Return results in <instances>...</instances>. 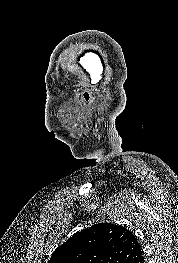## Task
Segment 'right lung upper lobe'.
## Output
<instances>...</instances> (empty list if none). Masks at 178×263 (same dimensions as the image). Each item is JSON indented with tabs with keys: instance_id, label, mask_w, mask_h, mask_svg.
Wrapping results in <instances>:
<instances>
[{
	"instance_id": "cb5924a9",
	"label": "right lung upper lobe",
	"mask_w": 178,
	"mask_h": 263,
	"mask_svg": "<svg viewBox=\"0 0 178 263\" xmlns=\"http://www.w3.org/2000/svg\"><path fill=\"white\" fill-rule=\"evenodd\" d=\"M48 263H145L137 238L127 228L98 223L59 246Z\"/></svg>"
}]
</instances>
